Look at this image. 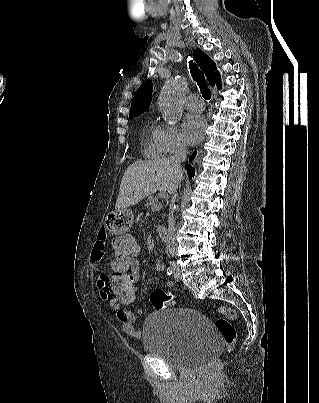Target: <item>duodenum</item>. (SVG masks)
<instances>
[{
  "mask_svg": "<svg viewBox=\"0 0 319 403\" xmlns=\"http://www.w3.org/2000/svg\"><path fill=\"white\" fill-rule=\"evenodd\" d=\"M155 231L163 240L168 238V229L164 224H156Z\"/></svg>",
  "mask_w": 319,
  "mask_h": 403,
  "instance_id": "410a0bca",
  "label": "duodenum"
}]
</instances>
